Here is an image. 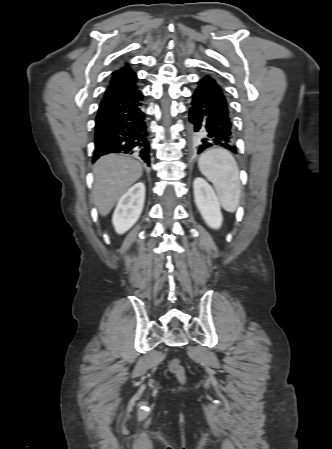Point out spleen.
<instances>
[{
  "label": "spleen",
  "instance_id": "obj_1",
  "mask_svg": "<svg viewBox=\"0 0 332 449\" xmlns=\"http://www.w3.org/2000/svg\"><path fill=\"white\" fill-rule=\"evenodd\" d=\"M201 173L212 182L222 207L235 212L239 205L241 186L235 158L224 149H212L198 160Z\"/></svg>",
  "mask_w": 332,
  "mask_h": 449
}]
</instances>
